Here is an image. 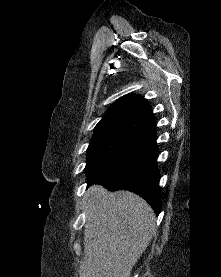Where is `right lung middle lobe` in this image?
Wrapping results in <instances>:
<instances>
[{
  "label": "right lung middle lobe",
  "mask_w": 221,
  "mask_h": 277,
  "mask_svg": "<svg viewBox=\"0 0 221 277\" xmlns=\"http://www.w3.org/2000/svg\"><path fill=\"white\" fill-rule=\"evenodd\" d=\"M140 124L97 127L87 149L85 173L88 180L117 168L145 139Z\"/></svg>",
  "instance_id": "obj_1"
}]
</instances>
